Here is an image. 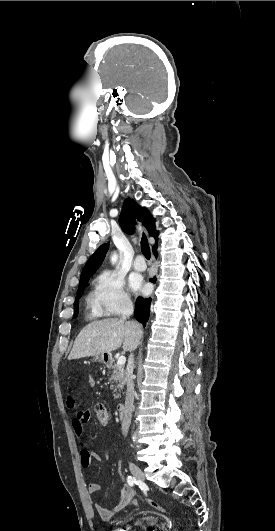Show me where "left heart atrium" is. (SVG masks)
I'll use <instances>...</instances> for the list:
<instances>
[{"label":"left heart atrium","instance_id":"39dd6f15","mask_svg":"<svg viewBox=\"0 0 275 531\" xmlns=\"http://www.w3.org/2000/svg\"><path fill=\"white\" fill-rule=\"evenodd\" d=\"M129 286L135 292L142 291L144 288L142 277L135 273L131 274L129 277Z\"/></svg>","mask_w":275,"mask_h":531}]
</instances>
